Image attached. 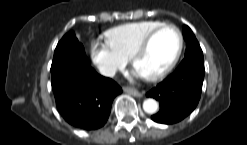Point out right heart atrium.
Wrapping results in <instances>:
<instances>
[{"instance_id": "obj_1", "label": "right heart atrium", "mask_w": 247, "mask_h": 145, "mask_svg": "<svg viewBox=\"0 0 247 145\" xmlns=\"http://www.w3.org/2000/svg\"><path fill=\"white\" fill-rule=\"evenodd\" d=\"M90 56L98 69L107 76H113L127 62V58L117 51L110 42L99 39L92 42Z\"/></svg>"}]
</instances>
